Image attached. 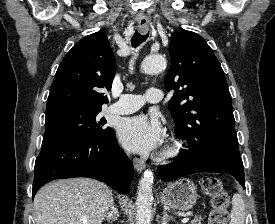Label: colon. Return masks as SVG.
Segmentation results:
<instances>
[{
	"instance_id": "5ec220e1",
	"label": "colon",
	"mask_w": 275,
	"mask_h": 224,
	"mask_svg": "<svg viewBox=\"0 0 275 224\" xmlns=\"http://www.w3.org/2000/svg\"><path fill=\"white\" fill-rule=\"evenodd\" d=\"M201 188L210 197L212 203L209 224H227L230 196L221 181L216 177L206 176L201 181Z\"/></svg>"
}]
</instances>
